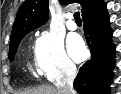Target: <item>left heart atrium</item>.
Segmentation results:
<instances>
[{
  "mask_svg": "<svg viewBox=\"0 0 121 94\" xmlns=\"http://www.w3.org/2000/svg\"><path fill=\"white\" fill-rule=\"evenodd\" d=\"M68 49L71 57L77 61L84 59L86 56L84 44L78 35H72L69 37Z\"/></svg>",
  "mask_w": 121,
  "mask_h": 94,
  "instance_id": "39dd6f15",
  "label": "left heart atrium"
}]
</instances>
